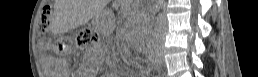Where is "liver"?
Here are the masks:
<instances>
[{
    "mask_svg": "<svg viewBox=\"0 0 258 77\" xmlns=\"http://www.w3.org/2000/svg\"><path fill=\"white\" fill-rule=\"evenodd\" d=\"M55 9L68 28L84 23L97 12L88 2L80 0H56Z\"/></svg>",
    "mask_w": 258,
    "mask_h": 77,
    "instance_id": "liver-1",
    "label": "liver"
}]
</instances>
